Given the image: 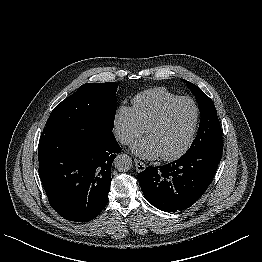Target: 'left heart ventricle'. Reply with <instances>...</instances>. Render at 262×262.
Segmentation results:
<instances>
[{
  "instance_id": "left-heart-ventricle-1",
  "label": "left heart ventricle",
  "mask_w": 262,
  "mask_h": 262,
  "mask_svg": "<svg viewBox=\"0 0 262 262\" xmlns=\"http://www.w3.org/2000/svg\"><path fill=\"white\" fill-rule=\"evenodd\" d=\"M195 108L189 101L176 104L164 122L147 133L157 144L161 155L177 152L187 141L194 122Z\"/></svg>"
}]
</instances>
